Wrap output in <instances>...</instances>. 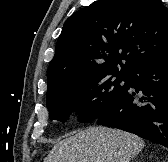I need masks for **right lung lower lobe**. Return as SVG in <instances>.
<instances>
[{"instance_id": "obj_1", "label": "right lung lower lobe", "mask_w": 168, "mask_h": 162, "mask_svg": "<svg viewBox=\"0 0 168 162\" xmlns=\"http://www.w3.org/2000/svg\"><path fill=\"white\" fill-rule=\"evenodd\" d=\"M97 124L168 147V55L129 73L122 91L97 118Z\"/></svg>"}]
</instances>
